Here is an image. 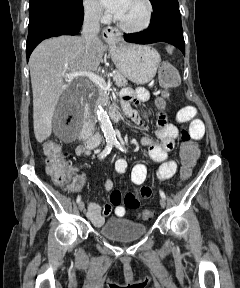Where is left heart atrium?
Instances as JSON below:
<instances>
[{"label": "left heart atrium", "instance_id": "obj_1", "mask_svg": "<svg viewBox=\"0 0 240 288\" xmlns=\"http://www.w3.org/2000/svg\"><path fill=\"white\" fill-rule=\"evenodd\" d=\"M104 7L115 17L119 18L127 6L128 0H100Z\"/></svg>", "mask_w": 240, "mask_h": 288}]
</instances>
